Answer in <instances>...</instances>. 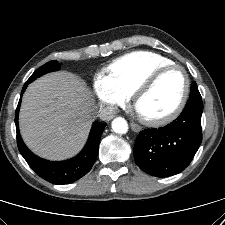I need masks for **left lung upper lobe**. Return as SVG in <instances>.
<instances>
[{
    "label": "left lung upper lobe",
    "mask_w": 225,
    "mask_h": 225,
    "mask_svg": "<svg viewBox=\"0 0 225 225\" xmlns=\"http://www.w3.org/2000/svg\"><path fill=\"white\" fill-rule=\"evenodd\" d=\"M199 95H200V93H199L198 87H197L196 83H193L191 86L190 96H199Z\"/></svg>",
    "instance_id": "1"
}]
</instances>
